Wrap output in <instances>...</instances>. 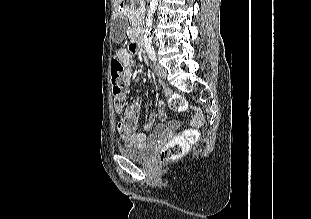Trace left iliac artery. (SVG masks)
I'll return each mask as SVG.
<instances>
[{
  "label": "left iliac artery",
  "instance_id": "1",
  "mask_svg": "<svg viewBox=\"0 0 311 219\" xmlns=\"http://www.w3.org/2000/svg\"><path fill=\"white\" fill-rule=\"evenodd\" d=\"M147 53L149 55V58L152 60V61H156V54H155V50L153 47H149L147 48Z\"/></svg>",
  "mask_w": 311,
  "mask_h": 219
}]
</instances>
